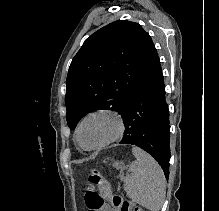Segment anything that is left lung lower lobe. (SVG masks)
I'll return each instance as SVG.
<instances>
[{"label":"left lung lower lobe","instance_id":"left-lung-lower-lobe-1","mask_svg":"<svg viewBox=\"0 0 219 211\" xmlns=\"http://www.w3.org/2000/svg\"><path fill=\"white\" fill-rule=\"evenodd\" d=\"M122 118L125 131L120 143L135 145L148 152L160 164L168 179L169 110L160 65L132 95Z\"/></svg>","mask_w":219,"mask_h":211}]
</instances>
